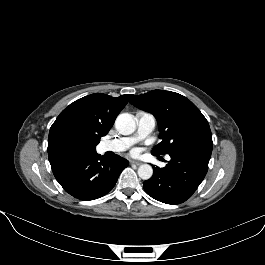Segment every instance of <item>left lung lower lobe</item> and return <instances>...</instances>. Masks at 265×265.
<instances>
[{"mask_svg":"<svg viewBox=\"0 0 265 265\" xmlns=\"http://www.w3.org/2000/svg\"><path fill=\"white\" fill-rule=\"evenodd\" d=\"M213 148L212 137H204L179 146L169 153L166 167H153V176L143 183L152 198L166 204L189 199L203 181Z\"/></svg>","mask_w":265,"mask_h":265,"instance_id":"obj_1","label":"left lung lower lobe"}]
</instances>
